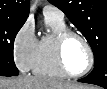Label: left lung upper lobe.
Returning <instances> with one entry per match:
<instances>
[{
    "label": "left lung upper lobe",
    "instance_id": "1",
    "mask_svg": "<svg viewBox=\"0 0 107 89\" xmlns=\"http://www.w3.org/2000/svg\"><path fill=\"white\" fill-rule=\"evenodd\" d=\"M49 1L85 36L94 53V64L107 56V0Z\"/></svg>",
    "mask_w": 107,
    "mask_h": 89
}]
</instances>
